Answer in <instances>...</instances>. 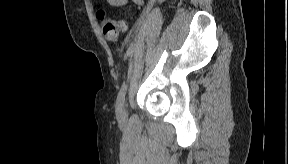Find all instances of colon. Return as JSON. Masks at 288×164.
<instances>
[{
    "instance_id": "colon-1",
    "label": "colon",
    "mask_w": 288,
    "mask_h": 164,
    "mask_svg": "<svg viewBox=\"0 0 288 164\" xmlns=\"http://www.w3.org/2000/svg\"><path fill=\"white\" fill-rule=\"evenodd\" d=\"M129 19L130 17H125L121 20L107 19L100 15L99 22L105 38L109 41H117L120 35L126 31Z\"/></svg>"
}]
</instances>
